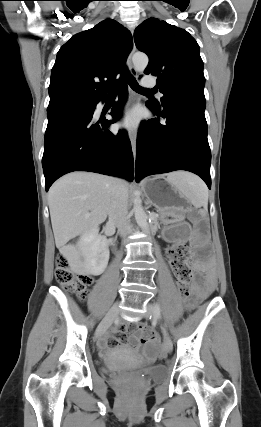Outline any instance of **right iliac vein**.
I'll return each instance as SVG.
<instances>
[{"mask_svg":"<svg viewBox=\"0 0 261 427\" xmlns=\"http://www.w3.org/2000/svg\"><path fill=\"white\" fill-rule=\"evenodd\" d=\"M118 312H119V304L115 303L111 307L107 315L104 317V319L101 321L99 326L97 327V330L95 333V337L97 339L100 338L106 332V330L111 326L112 322L117 317Z\"/></svg>","mask_w":261,"mask_h":427,"instance_id":"obj_1","label":"right iliac vein"}]
</instances>
